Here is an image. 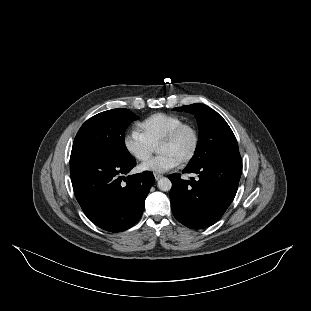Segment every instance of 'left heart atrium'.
<instances>
[{
    "label": "left heart atrium",
    "mask_w": 311,
    "mask_h": 311,
    "mask_svg": "<svg viewBox=\"0 0 311 311\" xmlns=\"http://www.w3.org/2000/svg\"><path fill=\"white\" fill-rule=\"evenodd\" d=\"M181 161L171 153H160L148 162L142 164L140 169L145 172L164 174L176 168Z\"/></svg>",
    "instance_id": "1"
}]
</instances>
